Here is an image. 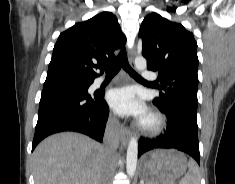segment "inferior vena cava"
Instances as JSON below:
<instances>
[{
  "label": "inferior vena cava",
  "instance_id": "1",
  "mask_svg": "<svg viewBox=\"0 0 235 184\" xmlns=\"http://www.w3.org/2000/svg\"><path fill=\"white\" fill-rule=\"evenodd\" d=\"M119 122L118 120H109L105 128L104 146L108 154H114V150L118 148L119 144Z\"/></svg>",
  "mask_w": 235,
  "mask_h": 184
}]
</instances>
